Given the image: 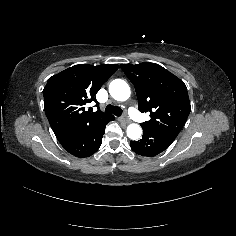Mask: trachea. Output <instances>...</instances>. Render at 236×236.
<instances>
[{
    "label": "trachea",
    "mask_w": 236,
    "mask_h": 236,
    "mask_svg": "<svg viewBox=\"0 0 236 236\" xmlns=\"http://www.w3.org/2000/svg\"><path fill=\"white\" fill-rule=\"evenodd\" d=\"M105 113H113L114 115L120 117L123 113V110L118 106H113L111 104L107 105Z\"/></svg>",
    "instance_id": "1"
}]
</instances>
